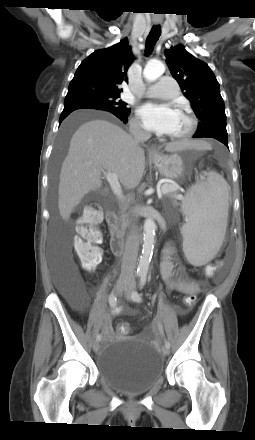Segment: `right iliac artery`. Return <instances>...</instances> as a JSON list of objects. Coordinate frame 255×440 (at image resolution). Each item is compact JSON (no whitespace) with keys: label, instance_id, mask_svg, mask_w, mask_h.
Instances as JSON below:
<instances>
[{"label":"right iliac artery","instance_id":"obj_1","mask_svg":"<svg viewBox=\"0 0 255 440\" xmlns=\"http://www.w3.org/2000/svg\"><path fill=\"white\" fill-rule=\"evenodd\" d=\"M109 304H110V306H111L112 308H115L116 305H117V298H116V296H115L114 293H112V294L109 296ZM101 337H102L101 334H98L97 337H96V341H100V340H101Z\"/></svg>","mask_w":255,"mask_h":440}]
</instances>
